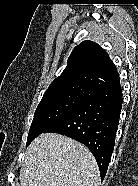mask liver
Returning a JSON list of instances; mask_svg holds the SVG:
<instances>
[{
    "mask_svg": "<svg viewBox=\"0 0 138 186\" xmlns=\"http://www.w3.org/2000/svg\"><path fill=\"white\" fill-rule=\"evenodd\" d=\"M92 153L81 143L56 133H43L27 148L20 186H100Z\"/></svg>",
    "mask_w": 138,
    "mask_h": 186,
    "instance_id": "6515ba94",
    "label": "liver"
}]
</instances>
